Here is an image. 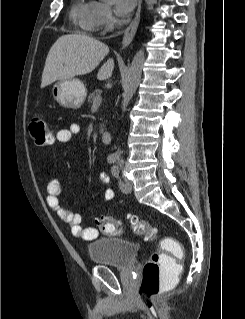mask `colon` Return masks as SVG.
I'll return each instance as SVG.
<instances>
[{"instance_id": "colon-1", "label": "colon", "mask_w": 245, "mask_h": 319, "mask_svg": "<svg viewBox=\"0 0 245 319\" xmlns=\"http://www.w3.org/2000/svg\"><path fill=\"white\" fill-rule=\"evenodd\" d=\"M29 132L33 144L37 147L48 146L53 141V134L45 120L40 116L33 117L29 122ZM135 233L152 240L157 235V228L147 220L137 215L128 214ZM98 229L106 234H119L120 223L110 216H101L97 219ZM184 256L183 247L174 238H164L160 243V250L153 253L143 267V278L138 288V295L142 302L151 303L164 288L173 282L175 275L181 268L174 263V259Z\"/></svg>"}]
</instances>
